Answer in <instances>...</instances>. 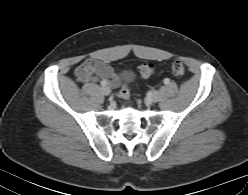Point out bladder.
<instances>
[{
	"label": "bladder",
	"mask_w": 248,
	"mask_h": 195,
	"mask_svg": "<svg viewBox=\"0 0 248 195\" xmlns=\"http://www.w3.org/2000/svg\"><path fill=\"white\" fill-rule=\"evenodd\" d=\"M129 80H130V77H129L128 74H126V75L124 76V78H123V81H124V82H128Z\"/></svg>",
	"instance_id": "1"
}]
</instances>
